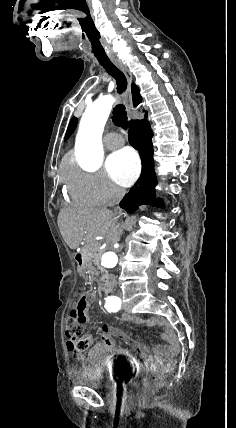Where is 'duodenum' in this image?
Wrapping results in <instances>:
<instances>
[{"mask_svg":"<svg viewBox=\"0 0 236 428\" xmlns=\"http://www.w3.org/2000/svg\"><path fill=\"white\" fill-rule=\"evenodd\" d=\"M74 259H75V263L78 271L83 272L84 265H85L83 254L79 251L76 252ZM114 288H115V277L113 275H107L105 277L104 284L102 287V295L104 296L105 299L113 295Z\"/></svg>","mask_w":236,"mask_h":428,"instance_id":"410a0bca","label":"duodenum"}]
</instances>
